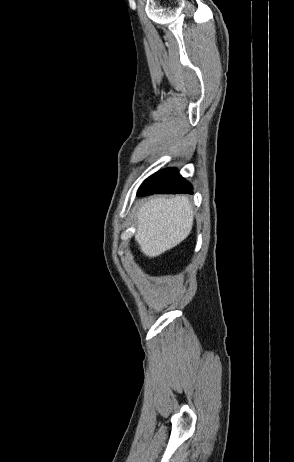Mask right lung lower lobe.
Instances as JSON below:
<instances>
[{"instance_id":"obj_1","label":"right lung lower lobe","mask_w":294,"mask_h":462,"mask_svg":"<svg viewBox=\"0 0 294 462\" xmlns=\"http://www.w3.org/2000/svg\"><path fill=\"white\" fill-rule=\"evenodd\" d=\"M192 194V186L182 178L176 169L170 168L156 172L141 185L137 195L151 194Z\"/></svg>"}]
</instances>
